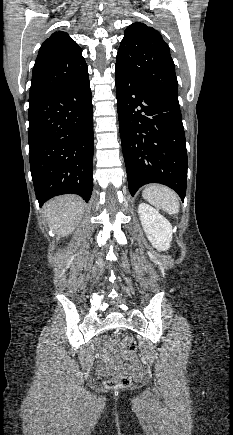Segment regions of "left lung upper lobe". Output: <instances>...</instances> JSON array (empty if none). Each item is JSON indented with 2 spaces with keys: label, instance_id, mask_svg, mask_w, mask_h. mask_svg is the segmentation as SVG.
Segmentation results:
<instances>
[{
  "label": "left lung upper lobe",
  "instance_id": "1",
  "mask_svg": "<svg viewBox=\"0 0 233 435\" xmlns=\"http://www.w3.org/2000/svg\"><path fill=\"white\" fill-rule=\"evenodd\" d=\"M124 33L115 66L148 90L178 98L175 65L160 33L140 22Z\"/></svg>",
  "mask_w": 233,
  "mask_h": 435
}]
</instances>
